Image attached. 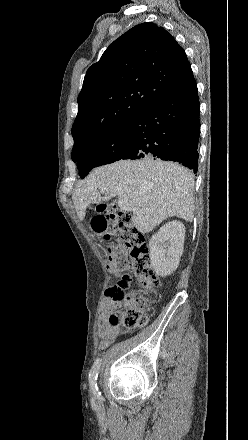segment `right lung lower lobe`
<instances>
[{
    "label": "right lung lower lobe",
    "mask_w": 248,
    "mask_h": 440,
    "mask_svg": "<svg viewBox=\"0 0 248 440\" xmlns=\"http://www.w3.org/2000/svg\"><path fill=\"white\" fill-rule=\"evenodd\" d=\"M200 103L197 85L161 98L129 122L130 141L120 159L160 158L198 170Z\"/></svg>",
    "instance_id": "1"
}]
</instances>
